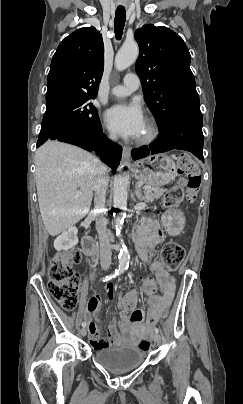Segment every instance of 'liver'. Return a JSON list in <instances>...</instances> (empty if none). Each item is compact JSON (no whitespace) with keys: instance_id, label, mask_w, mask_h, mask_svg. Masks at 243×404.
<instances>
[{"instance_id":"obj_1","label":"liver","mask_w":243,"mask_h":404,"mask_svg":"<svg viewBox=\"0 0 243 404\" xmlns=\"http://www.w3.org/2000/svg\"><path fill=\"white\" fill-rule=\"evenodd\" d=\"M35 166L43 224L50 236H58L88 214L101 162L81 148L54 140L38 148Z\"/></svg>"}]
</instances>
